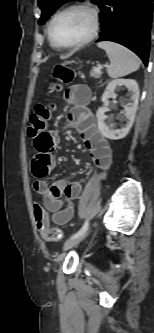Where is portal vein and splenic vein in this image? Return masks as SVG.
<instances>
[{
	"label": "portal vein and splenic vein",
	"mask_w": 154,
	"mask_h": 333,
	"mask_svg": "<svg viewBox=\"0 0 154 333\" xmlns=\"http://www.w3.org/2000/svg\"><path fill=\"white\" fill-rule=\"evenodd\" d=\"M102 68L103 67L101 65H98V67L96 69H97V71H101Z\"/></svg>",
	"instance_id": "obj_1"
}]
</instances>
